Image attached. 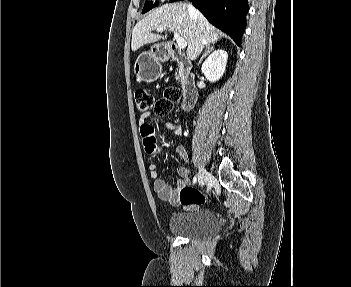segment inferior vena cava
I'll return each mask as SVG.
<instances>
[{
    "mask_svg": "<svg viewBox=\"0 0 351 287\" xmlns=\"http://www.w3.org/2000/svg\"><path fill=\"white\" fill-rule=\"evenodd\" d=\"M188 9H189L190 13L196 12V9L192 5H188Z\"/></svg>",
    "mask_w": 351,
    "mask_h": 287,
    "instance_id": "obj_1",
    "label": "inferior vena cava"
}]
</instances>
